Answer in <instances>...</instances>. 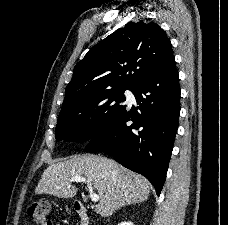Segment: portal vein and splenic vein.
Listing matches in <instances>:
<instances>
[{
	"label": "portal vein and splenic vein",
	"instance_id": "obj_1",
	"mask_svg": "<svg viewBox=\"0 0 228 225\" xmlns=\"http://www.w3.org/2000/svg\"><path fill=\"white\" fill-rule=\"evenodd\" d=\"M71 181H75V183H87L86 193L90 195L91 201H93V203H97V201H100V197L99 195H96L94 186L92 184H89V181H86L84 177H72Z\"/></svg>",
	"mask_w": 228,
	"mask_h": 225
}]
</instances>
